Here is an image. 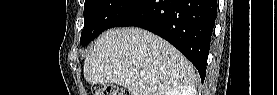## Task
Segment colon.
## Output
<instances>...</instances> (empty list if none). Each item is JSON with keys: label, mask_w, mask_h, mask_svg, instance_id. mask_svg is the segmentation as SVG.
<instances>
[{"label": "colon", "mask_w": 277, "mask_h": 95, "mask_svg": "<svg viewBox=\"0 0 277 95\" xmlns=\"http://www.w3.org/2000/svg\"><path fill=\"white\" fill-rule=\"evenodd\" d=\"M93 95H125L128 92L124 89H119L115 86H105L102 84H96L92 87Z\"/></svg>", "instance_id": "colon-1"}]
</instances>
